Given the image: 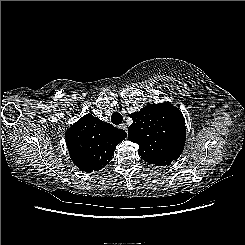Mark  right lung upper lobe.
<instances>
[{
	"label": "right lung upper lobe",
	"instance_id": "right-lung-upper-lobe-1",
	"mask_svg": "<svg viewBox=\"0 0 245 245\" xmlns=\"http://www.w3.org/2000/svg\"><path fill=\"white\" fill-rule=\"evenodd\" d=\"M65 135L72 161L85 172L98 171L107 165L116 146L127 136L123 129L91 114L80 118Z\"/></svg>",
	"mask_w": 245,
	"mask_h": 245
}]
</instances>
